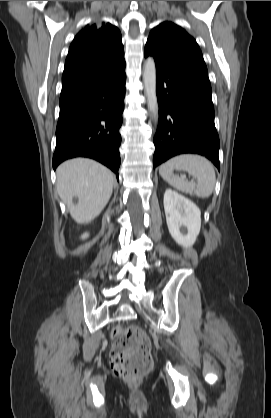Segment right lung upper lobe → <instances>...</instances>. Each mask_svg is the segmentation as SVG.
I'll list each match as a JSON object with an SVG mask.
<instances>
[{
  "label": "right lung upper lobe",
  "mask_w": 271,
  "mask_h": 418,
  "mask_svg": "<svg viewBox=\"0 0 271 418\" xmlns=\"http://www.w3.org/2000/svg\"><path fill=\"white\" fill-rule=\"evenodd\" d=\"M123 66L124 48L118 28L109 23L88 25L70 45L59 102L93 88Z\"/></svg>",
  "instance_id": "cb5924a9"
}]
</instances>
